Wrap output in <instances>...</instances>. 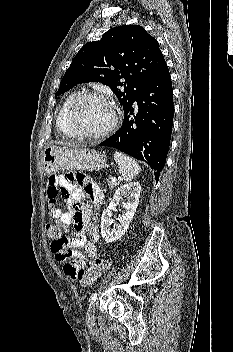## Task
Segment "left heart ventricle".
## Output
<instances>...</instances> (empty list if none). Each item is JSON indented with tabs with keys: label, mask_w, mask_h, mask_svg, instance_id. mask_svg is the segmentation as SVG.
Segmentation results:
<instances>
[{
	"label": "left heart ventricle",
	"mask_w": 233,
	"mask_h": 352,
	"mask_svg": "<svg viewBox=\"0 0 233 352\" xmlns=\"http://www.w3.org/2000/svg\"><path fill=\"white\" fill-rule=\"evenodd\" d=\"M113 117L111 107L100 99L83 100L73 116L74 127L83 133H96L109 125Z\"/></svg>",
	"instance_id": "obj_1"
}]
</instances>
